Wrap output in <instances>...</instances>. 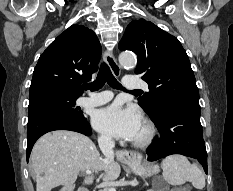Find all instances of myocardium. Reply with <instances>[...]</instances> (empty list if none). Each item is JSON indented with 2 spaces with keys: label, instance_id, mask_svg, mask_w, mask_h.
Instances as JSON below:
<instances>
[{
  "label": "myocardium",
  "instance_id": "f54148a6",
  "mask_svg": "<svg viewBox=\"0 0 233 191\" xmlns=\"http://www.w3.org/2000/svg\"><path fill=\"white\" fill-rule=\"evenodd\" d=\"M143 124L146 128L145 136L140 140H134L132 142L133 146L137 148H146L147 146H149L156 135V128L152 121L145 119L143 121Z\"/></svg>",
  "mask_w": 233,
  "mask_h": 191
}]
</instances>
